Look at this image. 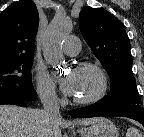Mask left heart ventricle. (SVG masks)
Instances as JSON below:
<instances>
[{"label":"left heart ventricle","mask_w":144,"mask_h":137,"mask_svg":"<svg viewBox=\"0 0 144 137\" xmlns=\"http://www.w3.org/2000/svg\"><path fill=\"white\" fill-rule=\"evenodd\" d=\"M77 74V89L74 97L85 99L93 96L99 89L97 74L91 70H75Z\"/></svg>","instance_id":"b2bd125f"}]
</instances>
